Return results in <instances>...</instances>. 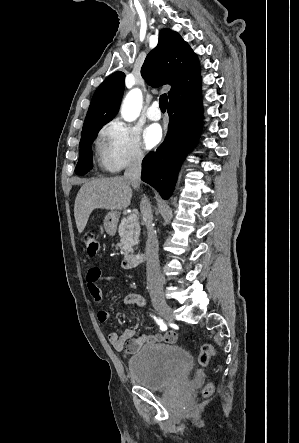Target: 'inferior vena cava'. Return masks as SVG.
I'll return each mask as SVG.
<instances>
[{
	"mask_svg": "<svg viewBox=\"0 0 299 443\" xmlns=\"http://www.w3.org/2000/svg\"><path fill=\"white\" fill-rule=\"evenodd\" d=\"M143 155L137 154L133 157L124 173V179L129 181L134 188L140 187V176L142 168ZM140 211L142 215L143 224L147 228V242H146V270H147V284L151 297L163 296V280L160 273V265L158 258V239L152 226L153 215L149 200L144 195L140 204Z\"/></svg>",
	"mask_w": 299,
	"mask_h": 443,
	"instance_id": "inferior-vena-cava-1",
	"label": "inferior vena cava"
}]
</instances>
